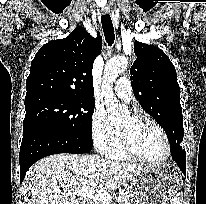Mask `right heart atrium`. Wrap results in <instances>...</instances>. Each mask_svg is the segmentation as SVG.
<instances>
[{"instance_id": "right-heart-atrium-1", "label": "right heart atrium", "mask_w": 206, "mask_h": 204, "mask_svg": "<svg viewBox=\"0 0 206 204\" xmlns=\"http://www.w3.org/2000/svg\"><path fill=\"white\" fill-rule=\"evenodd\" d=\"M91 137L95 148L104 153L114 142L117 130L103 109L97 107L91 117Z\"/></svg>"}]
</instances>
